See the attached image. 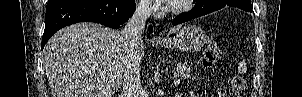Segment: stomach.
I'll list each match as a JSON object with an SVG mask.
<instances>
[{"label":"stomach","instance_id":"stomach-1","mask_svg":"<svg viewBox=\"0 0 302 97\" xmlns=\"http://www.w3.org/2000/svg\"><path fill=\"white\" fill-rule=\"evenodd\" d=\"M205 32L195 25L181 28L174 37L161 43L164 48L176 49L182 52H197L206 43Z\"/></svg>","mask_w":302,"mask_h":97}]
</instances>
